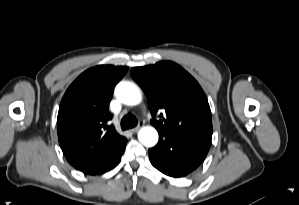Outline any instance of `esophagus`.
Listing matches in <instances>:
<instances>
[{
	"label": "esophagus",
	"mask_w": 299,
	"mask_h": 205,
	"mask_svg": "<svg viewBox=\"0 0 299 205\" xmlns=\"http://www.w3.org/2000/svg\"><path fill=\"white\" fill-rule=\"evenodd\" d=\"M141 127H142V123H140V125H138L137 127L131 129V132L136 133Z\"/></svg>",
	"instance_id": "34e87169"
}]
</instances>
